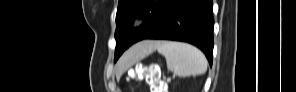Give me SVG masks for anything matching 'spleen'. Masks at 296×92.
Wrapping results in <instances>:
<instances>
[{
    "mask_svg": "<svg viewBox=\"0 0 296 92\" xmlns=\"http://www.w3.org/2000/svg\"><path fill=\"white\" fill-rule=\"evenodd\" d=\"M167 63V68L179 77L202 75L207 70V60L196 47L187 43L162 41L156 46Z\"/></svg>",
    "mask_w": 296,
    "mask_h": 92,
    "instance_id": "spleen-1",
    "label": "spleen"
}]
</instances>
